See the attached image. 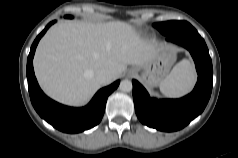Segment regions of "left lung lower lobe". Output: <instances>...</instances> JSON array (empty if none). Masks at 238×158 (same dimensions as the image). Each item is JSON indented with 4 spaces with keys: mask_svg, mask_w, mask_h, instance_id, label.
<instances>
[{
    "mask_svg": "<svg viewBox=\"0 0 238 158\" xmlns=\"http://www.w3.org/2000/svg\"><path fill=\"white\" fill-rule=\"evenodd\" d=\"M166 40L177 43L191 53L198 73L194 90L180 99L156 100L145 88L133 80V100L139 120L161 131H177L202 113L211 96L213 68L205 41L190 24L166 35Z\"/></svg>",
    "mask_w": 238,
    "mask_h": 158,
    "instance_id": "0a47b994",
    "label": "left lung lower lobe"
}]
</instances>
